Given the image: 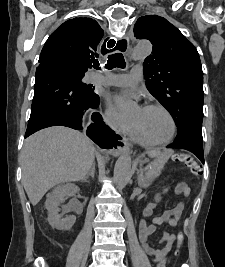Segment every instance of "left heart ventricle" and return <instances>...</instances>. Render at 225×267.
<instances>
[{
    "label": "left heart ventricle",
    "mask_w": 225,
    "mask_h": 267,
    "mask_svg": "<svg viewBox=\"0 0 225 267\" xmlns=\"http://www.w3.org/2000/svg\"><path fill=\"white\" fill-rule=\"evenodd\" d=\"M131 120L153 141L166 140L172 133L171 120L158 109L136 108L131 115Z\"/></svg>",
    "instance_id": "obj_1"
}]
</instances>
